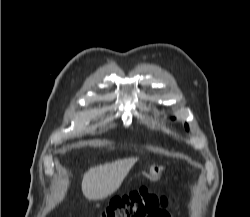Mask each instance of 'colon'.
<instances>
[{
  "mask_svg": "<svg viewBox=\"0 0 250 217\" xmlns=\"http://www.w3.org/2000/svg\"><path fill=\"white\" fill-rule=\"evenodd\" d=\"M168 204L167 197L142 187L114 198L103 211L102 217H169L164 210Z\"/></svg>",
  "mask_w": 250,
  "mask_h": 217,
  "instance_id": "colon-1",
  "label": "colon"
}]
</instances>
